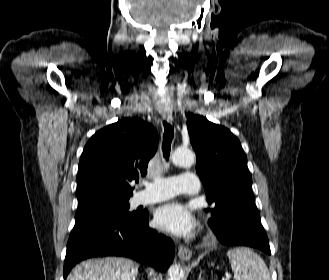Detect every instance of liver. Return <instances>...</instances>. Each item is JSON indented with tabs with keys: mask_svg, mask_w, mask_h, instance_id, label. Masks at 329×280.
Returning <instances> with one entry per match:
<instances>
[{
	"mask_svg": "<svg viewBox=\"0 0 329 280\" xmlns=\"http://www.w3.org/2000/svg\"><path fill=\"white\" fill-rule=\"evenodd\" d=\"M139 265L130 259L106 257L77 265L67 280H135Z\"/></svg>",
	"mask_w": 329,
	"mask_h": 280,
	"instance_id": "1",
	"label": "liver"
}]
</instances>
